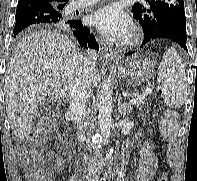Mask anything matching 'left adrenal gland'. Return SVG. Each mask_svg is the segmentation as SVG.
<instances>
[{
  "label": "left adrenal gland",
  "mask_w": 197,
  "mask_h": 181,
  "mask_svg": "<svg viewBox=\"0 0 197 181\" xmlns=\"http://www.w3.org/2000/svg\"><path fill=\"white\" fill-rule=\"evenodd\" d=\"M132 108H131V105L129 103H126V102H122V96L121 94L119 95L118 97V110H119V113L123 116L126 115V112L130 111Z\"/></svg>",
  "instance_id": "1"
}]
</instances>
